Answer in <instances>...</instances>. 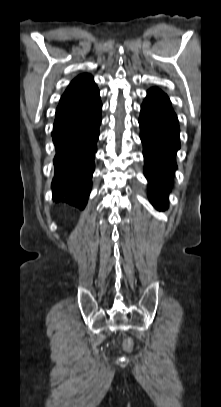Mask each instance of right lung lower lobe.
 Returning a JSON list of instances; mask_svg holds the SVG:
<instances>
[{"label":"right lung lower lobe","mask_w":221,"mask_h":407,"mask_svg":"<svg viewBox=\"0 0 221 407\" xmlns=\"http://www.w3.org/2000/svg\"><path fill=\"white\" fill-rule=\"evenodd\" d=\"M102 104L97 86L61 98L52 132L53 200L84 209L92 186Z\"/></svg>","instance_id":"98d812e1"}]
</instances>
